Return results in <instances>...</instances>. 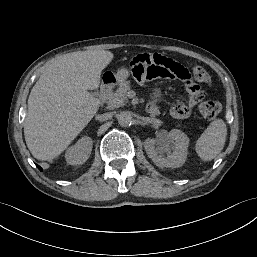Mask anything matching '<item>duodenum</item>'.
Returning a JSON list of instances; mask_svg holds the SVG:
<instances>
[{
	"label": "duodenum",
	"mask_w": 257,
	"mask_h": 257,
	"mask_svg": "<svg viewBox=\"0 0 257 257\" xmlns=\"http://www.w3.org/2000/svg\"><path fill=\"white\" fill-rule=\"evenodd\" d=\"M113 82L114 80L112 76L103 79L102 85L100 87V92H99V101L101 104H103L110 96V93L113 88ZM147 112L150 114H156L157 109L150 105V106H147Z\"/></svg>",
	"instance_id": "1"
}]
</instances>
